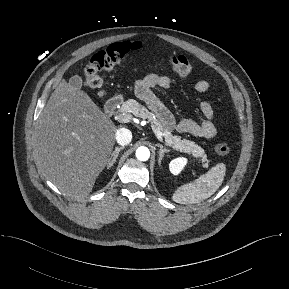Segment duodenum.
Listing matches in <instances>:
<instances>
[{
    "label": "duodenum",
    "mask_w": 289,
    "mask_h": 289,
    "mask_svg": "<svg viewBox=\"0 0 289 289\" xmlns=\"http://www.w3.org/2000/svg\"><path fill=\"white\" fill-rule=\"evenodd\" d=\"M121 104V98L115 96L107 100L105 103V113L107 116H112Z\"/></svg>",
    "instance_id": "410a0bca"
}]
</instances>
